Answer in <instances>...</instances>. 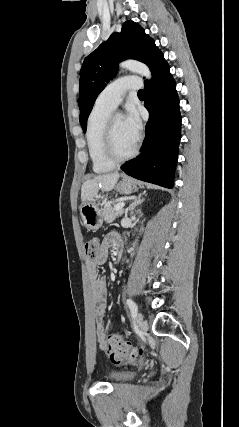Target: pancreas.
<instances>
[{
  "label": "pancreas",
  "mask_w": 239,
  "mask_h": 427,
  "mask_svg": "<svg viewBox=\"0 0 239 427\" xmlns=\"http://www.w3.org/2000/svg\"><path fill=\"white\" fill-rule=\"evenodd\" d=\"M114 204L113 202L107 203L102 208V216L106 223L113 222L116 218L122 216L123 210L115 211L114 207L112 206Z\"/></svg>",
  "instance_id": "cf45deb5"
}]
</instances>
